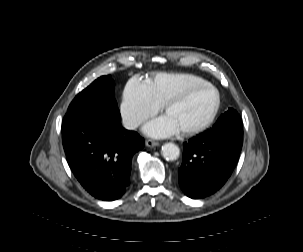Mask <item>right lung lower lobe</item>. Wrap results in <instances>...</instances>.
<instances>
[{"label":"right lung lower lobe","instance_id":"right-lung-lower-lobe-1","mask_svg":"<svg viewBox=\"0 0 303 252\" xmlns=\"http://www.w3.org/2000/svg\"><path fill=\"white\" fill-rule=\"evenodd\" d=\"M62 138L68 164L94 197L112 201L130 184L131 159L144 139L121 126L115 105L101 104L66 114Z\"/></svg>","mask_w":303,"mask_h":252}]
</instances>
